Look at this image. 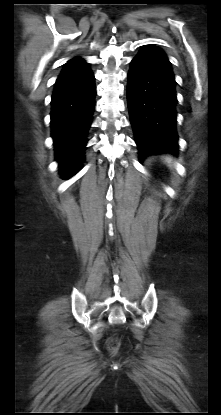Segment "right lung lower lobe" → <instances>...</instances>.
Instances as JSON below:
<instances>
[{"label":"right lung lower lobe","instance_id":"obj_1","mask_svg":"<svg viewBox=\"0 0 221 415\" xmlns=\"http://www.w3.org/2000/svg\"><path fill=\"white\" fill-rule=\"evenodd\" d=\"M94 75L87 63L65 66L51 100V135L56 160L64 176L71 177L84 160L87 132L94 111Z\"/></svg>","mask_w":221,"mask_h":415}]
</instances>
